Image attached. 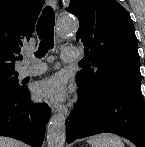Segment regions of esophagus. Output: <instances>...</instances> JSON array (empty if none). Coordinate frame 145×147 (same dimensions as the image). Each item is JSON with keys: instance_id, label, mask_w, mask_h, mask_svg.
<instances>
[{"instance_id": "obj_1", "label": "esophagus", "mask_w": 145, "mask_h": 147, "mask_svg": "<svg viewBox=\"0 0 145 147\" xmlns=\"http://www.w3.org/2000/svg\"><path fill=\"white\" fill-rule=\"evenodd\" d=\"M48 2L52 8L55 9L57 7V0H48ZM51 111L53 114L58 112H63L65 115H67L68 113L66 106L58 103H54L51 105Z\"/></svg>"}]
</instances>
